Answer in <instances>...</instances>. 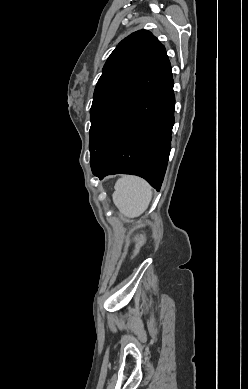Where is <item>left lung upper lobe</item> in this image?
Instances as JSON below:
<instances>
[{
  "mask_svg": "<svg viewBox=\"0 0 248 389\" xmlns=\"http://www.w3.org/2000/svg\"><path fill=\"white\" fill-rule=\"evenodd\" d=\"M165 52V47L147 30H139L123 39L107 59L95 87L90 109V155L102 147L106 139L95 134L97 117Z\"/></svg>",
  "mask_w": 248,
  "mask_h": 389,
  "instance_id": "1",
  "label": "left lung upper lobe"
}]
</instances>
